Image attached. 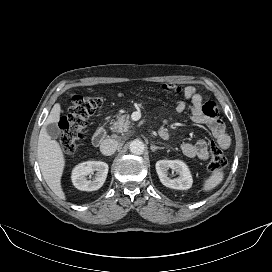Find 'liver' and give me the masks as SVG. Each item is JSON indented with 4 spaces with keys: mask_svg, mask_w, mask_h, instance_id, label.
<instances>
[{
    "mask_svg": "<svg viewBox=\"0 0 272 272\" xmlns=\"http://www.w3.org/2000/svg\"><path fill=\"white\" fill-rule=\"evenodd\" d=\"M60 113L61 105L56 103L40 130L37 157L42 176L47 185L56 196L65 200L66 196L61 186V177L65 167L64 153L59 143L52 140L46 131L48 124L59 121Z\"/></svg>",
    "mask_w": 272,
    "mask_h": 272,
    "instance_id": "obj_1",
    "label": "liver"
}]
</instances>
